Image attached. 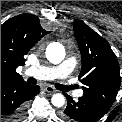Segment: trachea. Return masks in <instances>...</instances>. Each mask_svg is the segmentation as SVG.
Here are the masks:
<instances>
[{"instance_id":"obj_1","label":"trachea","mask_w":122,"mask_h":122,"mask_svg":"<svg viewBox=\"0 0 122 122\" xmlns=\"http://www.w3.org/2000/svg\"><path fill=\"white\" fill-rule=\"evenodd\" d=\"M28 82L30 84H36L37 83V80L35 78H29L28 79ZM55 87L58 89V90H61V91H69L71 89H74L75 86H65V85H61V84H56Z\"/></svg>"}]
</instances>
